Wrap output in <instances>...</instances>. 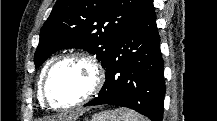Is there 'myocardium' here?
Here are the masks:
<instances>
[{"label": "myocardium", "mask_w": 217, "mask_h": 121, "mask_svg": "<svg viewBox=\"0 0 217 121\" xmlns=\"http://www.w3.org/2000/svg\"><path fill=\"white\" fill-rule=\"evenodd\" d=\"M83 60L87 62L93 69L94 72V81L92 84L91 89L89 92L83 96L81 99L78 101L65 105V106H59L53 103L50 95H49V84L50 80L55 72V70L62 64L68 62V61H73V60ZM104 79H105V70L101 62L92 54L83 52V51H75L66 55H63L59 58H57L48 68L44 79L42 83V96L44 101L47 103V105L55 110V111H67L72 108H76L78 106H81L83 104H86L90 100L94 98V96L100 92L103 84H104Z\"/></svg>", "instance_id": "obj_1"}]
</instances>
